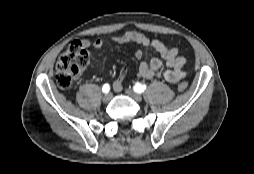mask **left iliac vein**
Returning a JSON list of instances; mask_svg holds the SVG:
<instances>
[{"label":"left iliac vein","mask_w":254,"mask_h":174,"mask_svg":"<svg viewBox=\"0 0 254 174\" xmlns=\"http://www.w3.org/2000/svg\"><path fill=\"white\" fill-rule=\"evenodd\" d=\"M125 93H126L129 97H131L132 99H134V100L137 101V102L142 101V96H141V94H139V93H136V92H134V91H132V90H130V89H126V90H125Z\"/></svg>","instance_id":"obj_1"}]
</instances>
